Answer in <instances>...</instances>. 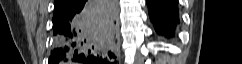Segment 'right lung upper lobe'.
<instances>
[{
    "mask_svg": "<svg viewBox=\"0 0 242 64\" xmlns=\"http://www.w3.org/2000/svg\"><path fill=\"white\" fill-rule=\"evenodd\" d=\"M73 0H55L54 1V11L58 12L60 10H63L64 8L68 7Z\"/></svg>",
    "mask_w": 242,
    "mask_h": 64,
    "instance_id": "cb5924a9",
    "label": "right lung upper lobe"
}]
</instances>
